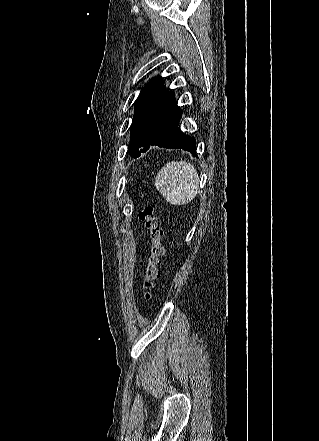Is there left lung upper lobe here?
<instances>
[{"label":"left lung upper lobe","mask_w":319,"mask_h":441,"mask_svg":"<svg viewBox=\"0 0 319 441\" xmlns=\"http://www.w3.org/2000/svg\"><path fill=\"white\" fill-rule=\"evenodd\" d=\"M163 84V78L157 77L141 90L135 101L128 146L133 158L145 152L158 129L179 109L173 92L166 90Z\"/></svg>","instance_id":"5c2ea615"}]
</instances>
